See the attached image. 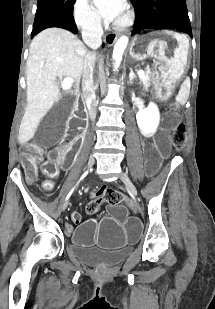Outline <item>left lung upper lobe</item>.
<instances>
[{
	"mask_svg": "<svg viewBox=\"0 0 215 309\" xmlns=\"http://www.w3.org/2000/svg\"><path fill=\"white\" fill-rule=\"evenodd\" d=\"M136 14L133 34L147 29H177L192 37L185 0H131Z\"/></svg>",
	"mask_w": 215,
	"mask_h": 309,
	"instance_id": "left-lung-upper-lobe-1",
	"label": "left lung upper lobe"
}]
</instances>
